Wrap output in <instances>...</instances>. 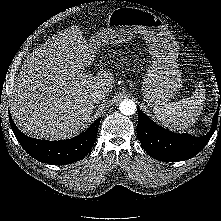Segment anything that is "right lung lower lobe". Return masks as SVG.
<instances>
[{"instance_id":"98d812e1","label":"right lung lower lobe","mask_w":221,"mask_h":221,"mask_svg":"<svg viewBox=\"0 0 221 221\" xmlns=\"http://www.w3.org/2000/svg\"><path fill=\"white\" fill-rule=\"evenodd\" d=\"M9 117L12 130L23 149L34 159L53 165H65L85 157L94 145L101 120L100 117L85 132L75 138L47 141L26 136L17 128L10 114Z\"/></svg>"}]
</instances>
